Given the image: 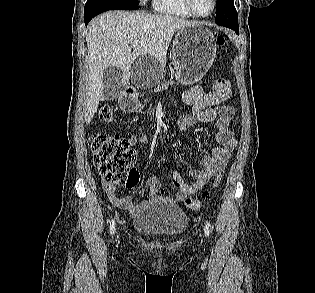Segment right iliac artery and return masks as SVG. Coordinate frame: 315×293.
I'll use <instances>...</instances> for the list:
<instances>
[{
  "label": "right iliac artery",
  "mask_w": 315,
  "mask_h": 293,
  "mask_svg": "<svg viewBox=\"0 0 315 293\" xmlns=\"http://www.w3.org/2000/svg\"><path fill=\"white\" fill-rule=\"evenodd\" d=\"M110 232H111V234H114V232H115V221L113 219L110 222Z\"/></svg>",
  "instance_id": "1"
}]
</instances>
